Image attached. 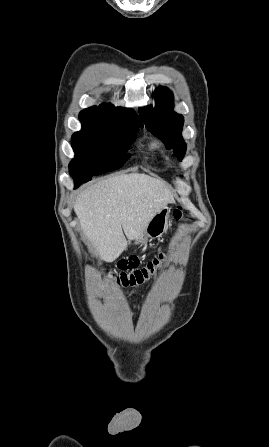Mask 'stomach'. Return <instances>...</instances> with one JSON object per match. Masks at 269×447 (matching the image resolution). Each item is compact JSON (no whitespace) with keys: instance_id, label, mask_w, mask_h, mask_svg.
I'll use <instances>...</instances> for the list:
<instances>
[{"instance_id":"obj_1","label":"stomach","mask_w":269,"mask_h":447,"mask_svg":"<svg viewBox=\"0 0 269 447\" xmlns=\"http://www.w3.org/2000/svg\"><path fill=\"white\" fill-rule=\"evenodd\" d=\"M169 218L170 208L165 206V208H162L160 212H157V214L153 216L149 224L146 225L143 233H141L137 239H134L135 245H137V243L143 245V243L148 241V237H152V239H154V237H162V233L167 229Z\"/></svg>"}]
</instances>
